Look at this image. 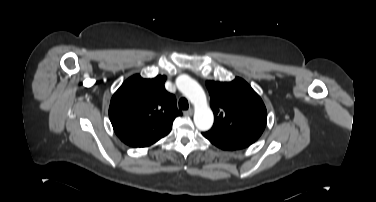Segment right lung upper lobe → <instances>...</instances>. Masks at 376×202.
Returning a JSON list of instances; mask_svg holds the SVG:
<instances>
[{"label":"right lung upper lobe","mask_w":376,"mask_h":202,"mask_svg":"<svg viewBox=\"0 0 376 202\" xmlns=\"http://www.w3.org/2000/svg\"><path fill=\"white\" fill-rule=\"evenodd\" d=\"M165 76L144 79L139 74L127 79L114 93L109 117L117 136L131 147H148L171 131L182 115L175 96L164 88Z\"/></svg>","instance_id":"right-lung-upper-lobe-1"}]
</instances>
